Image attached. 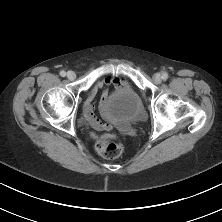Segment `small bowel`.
Masks as SVG:
<instances>
[{
  "label": "small bowel",
  "mask_w": 222,
  "mask_h": 222,
  "mask_svg": "<svg viewBox=\"0 0 222 222\" xmlns=\"http://www.w3.org/2000/svg\"><path fill=\"white\" fill-rule=\"evenodd\" d=\"M110 87H115L116 89H123L128 87V82L123 77H118L115 75H107L102 77L98 83L92 88L90 95L88 96L84 104V116L86 121L97 131H110L112 129V124L109 121L102 122L95 115V98L100 93L99 108L104 118L105 106L109 98Z\"/></svg>",
  "instance_id": "1"
}]
</instances>
